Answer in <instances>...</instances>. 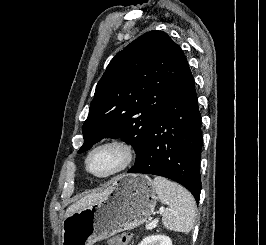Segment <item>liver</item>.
Returning a JSON list of instances; mask_svg holds the SVG:
<instances>
[{
    "instance_id": "1",
    "label": "liver",
    "mask_w": 266,
    "mask_h": 245,
    "mask_svg": "<svg viewBox=\"0 0 266 245\" xmlns=\"http://www.w3.org/2000/svg\"><path fill=\"white\" fill-rule=\"evenodd\" d=\"M113 189L114 187H107V189H105V191H101V193H90V195L82 197L80 201H76L74 205H70V207H68L65 217H69V215H72V213H77V211L89 209V207H93V205H96V203H102V201H106L108 195H110Z\"/></svg>"
}]
</instances>
